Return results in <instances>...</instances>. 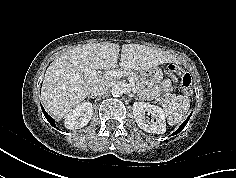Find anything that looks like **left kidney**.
Segmentation results:
<instances>
[{
    "label": "left kidney",
    "instance_id": "5707ae66",
    "mask_svg": "<svg viewBox=\"0 0 236 178\" xmlns=\"http://www.w3.org/2000/svg\"><path fill=\"white\" fill-rule=\"evenodd\" d=\"M132 108L135 121L140 129L154 134L166 132L165 114L160 107L145 102H135ZM146 112L151 114L156 120L150 122L145 119Z\"/></svg>",
    "mask_w": 236,
    "mask_h": 178
}]
</instances>
